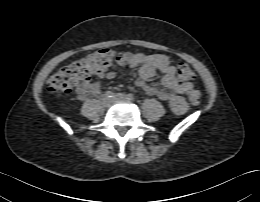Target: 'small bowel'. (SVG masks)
Wrapping results in <instances>:
<instances>
[{
	"label": "small bowel",
	"mask_w": 260,
	"mask_h": 202,
	"mask_svg": "<svg viewBox=\"0 0 260 202\" xmlns=\"http://www.w3.org/2000/svg\"><path fill=\"white\" fill-rule=\"evenodd\" d=\"M116 63L121 67H139L136 81V86L139 89L149 96L156 97L161 102L168 103L177 114L185 112L186 105L181 96L192 90L193 84L177 79L175 68L166 55L126 53L120 56ZM157 72L161 74V84L165 90L147 83V80L154 77ZM115 75L114 70H107L99 74L100 77L107 79H113ZM85 88L77 91L79 99L85 98L88 94L97 95L101 90L99 83L92 80L85 83Z\"/></svg>",
	"instance_id": "obj_1"
}]
</instances>
